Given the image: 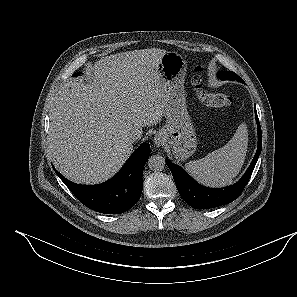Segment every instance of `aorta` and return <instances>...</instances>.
Segmentation results:
<instances>
[{"mask_svg": "<svg viewBox=\"0 0 297 297\" xmlns=\"http://www.w3.org/2000/svg\"><path fill=\"white\" fill-rule=\"evenodd\" d=\"M148 166L153 171H162L166 166V162L162 156L153 155L148 159Z\"/></svg>", "mask_w": 297, "mask_h": 297, "instance_id": "762f6f07", "label": "aorta"}]
</instances>
